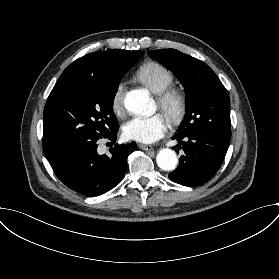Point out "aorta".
Segmentation results:
<instances>
[{
    "mask_svg": "<svg viewBox=\"0 0 279 279\" xmlns=\"http://www.w3.org/2000/svg\"><path fill=\"white\" fill-rule=\"evenodd\" d=\"M124 104L126 109L133 114L149 116L154 112V104L144 90L130 91L126 95ZM156 162L160 169L173 171L177 166L178 158L174 150L163 148L158 152Z\"/></svg>",
    "mask_w": 279,
    "mask_h": 279,
    "instance_id": "762f6f07",
    "label": "aorta"
}]
</instances>
